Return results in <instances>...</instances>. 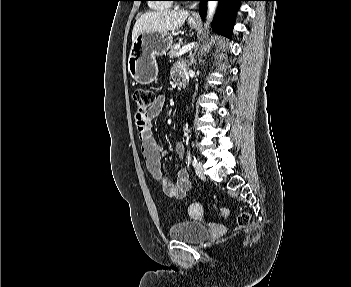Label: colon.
<instances>
[{
    "label": "colon",
    "mask_w": 351,
    "mask_h": 287,
    "mask_svg": "<svg viewBox=\"0 0 351 287\" xmlns=\"http://www.w3.org/2000/svg\"><path fill=\"white\" fill-rule=\"evenodd\" d=\"M133 101L137 107V113L144 115L152 107L155 102V94L149 89L139 88L133 92ZM221 216L227 217L229 210L223 208L220 212ZM250 215L248 212L243 211L238 215L237 222L240 227L246 226L249 222Z\"/></svg>",
    "instance_id": "obj_1"
}]
</instances>
